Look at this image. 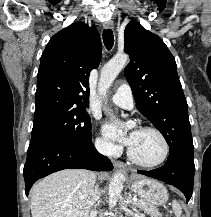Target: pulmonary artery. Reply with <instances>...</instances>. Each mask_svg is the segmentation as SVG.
Returning <instances> with one entry per match:
<instances>
[{"mask_svg": "<svg viewBox=\"0 0 211 217\" xmlns=\"http://www.w3.org/2000/svg\"><path fill=\"white\" fill-rule=\"evenodd\" d=\"M111 101L114 105L123 109L131 110L134 107L133 94L127 83H122L117 88Z\"/></svg>", "mask_w": 211, "mask_h": 217, "instance_id": "e3ab8cb5", "label": "pulmonary artery"}]
</instances>
